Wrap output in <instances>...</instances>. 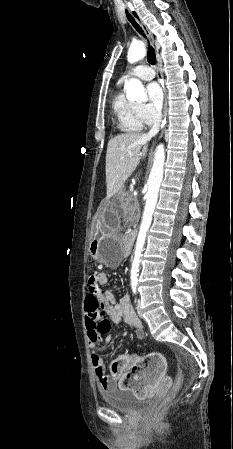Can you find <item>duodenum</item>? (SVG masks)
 <instances>
[{
  "label": "duodenum",
  "instance_id": "duodenum-1",
  "mask_svg": "<svg viewBox=\"0 0 233 449\" xmlns=\"http://www.w3.org/2000/svg\"><path fill=\"white\" fill-rule=\"evenodd\" d=\"M136 233L131 232L125 239H124V245L125 250L127 253H130L133 249L134 243H135Z\"/></svg>",
  "mask_w": 233,
  "mask_h": 449
}]
</instances>
